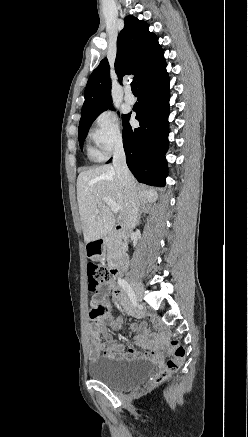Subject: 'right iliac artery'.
<instances>
[{
  "label": "right iliac artery",
  "mask_w": 248,
  "mask_h": 437,
  "mask_svg": "<svg viewBox=\"0 0 248 437\" xmlns=\"http://www.w3.org/2000/svg\"><path fill=\"white\" fill-rule=\"evenodd\" d=\"M118 283L125 290V292L128 294L132 304L134 306H137V300H136L135 292L132 289V287L128 284V282L125 279L119 278L118 279Z\"/></svg>",
  "instance_id": "obj_1"
}]
</instances>
